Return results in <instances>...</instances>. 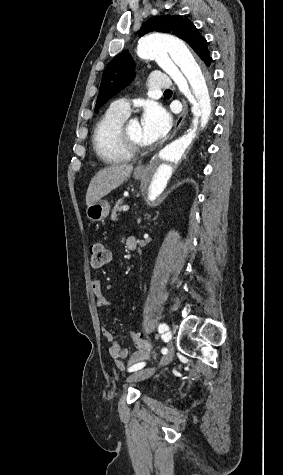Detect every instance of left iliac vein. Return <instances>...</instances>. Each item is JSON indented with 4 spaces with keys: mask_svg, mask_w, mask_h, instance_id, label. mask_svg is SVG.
Listing matches in <instances>:
<instances>
[{
    "mask_svg": "<svg viewBox=\"0 0 283 475\" xmlns=\"http://www.w3.org/2000/svg\"><path fill=\"white\" fill-rule=\"evenodd\" d=\"M171 335H172V332L168 329L167 332L165 333L164 337H166L167 340H169L171 338ZM173 354H174L173 348L170 345H168V352H167L166 355H164L161 358V360L159 362V365L168 364L172 360ZM154 372H155V368H147V369L140 370V371L135 372L134 374L130 375L129 377H127V382L146 380L149 377H151L154 374Z\"/></svg>",
    "mask_w": 283,
    "mask_h": 475,
    "instance_id": "left-iliac-vein-1",
    "label": "left iliac vein"
}]
</instances>
